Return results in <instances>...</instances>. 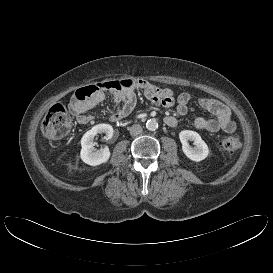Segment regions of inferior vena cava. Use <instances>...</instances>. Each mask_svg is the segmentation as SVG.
<instances>
[{
	"label": "inferior vena cava",
	"mask_w": 273,
	"mask_h": 273,
	"mask_svg": "<svg viewBox=\"0 0 273 273\" xmlns=\"http://www.w3.org/2000/svg\"><path fill=\"white\" fill-rule=\"evenodd\" d=\"M142 131H143V129L139 124H134L130 128V134L132 136H137V135L141 134Z\"/></svg>",
	"instance_id": "obj_1"
}]
</instances>
